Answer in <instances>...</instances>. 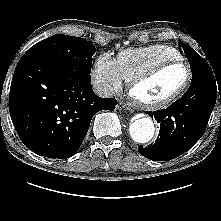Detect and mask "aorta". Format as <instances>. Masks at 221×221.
Here are the masks:
<instances>
[{
	"mask_svg": "<svg viewBox=\"0 0 221 221\" xmlns=\"http://www.w3.org/2000/svg\"><path fill=\"white\" fill-rule=\"evenodd\" d=\"M155 127L149 117H143L135 120L130 124V136L138 143H147L154 136Z\"/></svg>",
	"mask_w": 221,
	"mask_h": 221,
	"instance_id": "762f6f07",
	"label": "aorta"
}]
</instances>
